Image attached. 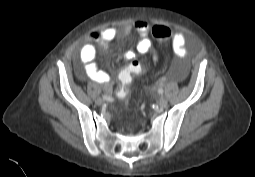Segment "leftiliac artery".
<instances>
[{
	"label": "left iliac artery",
	"instance_id": "44dca946",
	"mask_svg": "<svg viewBox=\"0 0 255 177\" xmlns=\"http://www.w3.org/2000/svg\"><path fill=\"white\" fill-rule=\"evenodd\" d=\"M158 93H159V94H163V89H162V88H159V89H158Z\"/></svg>",
	"mask_w": 255,
	"mask_h": 177
}]
</instances>
